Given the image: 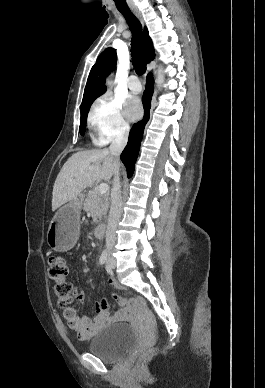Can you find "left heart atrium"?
<instances>
[{
    "instance_id": "left-heart-atrium-1",
    "label": "left heart atrium",
    "mask_w": 265,
    "mask_h": 388,
    "mask_svg": "<svg viewBox=\"0 0 265 388\" xmlns=\"http://www.w3.org/2000/svg\"><path fill=\"white\" fill-rule=\"evenodd\" d=\"M126 114L131 120H137L142 114V106L137 97H132L126 104Z\"/></svg>"
}]
</instances>
